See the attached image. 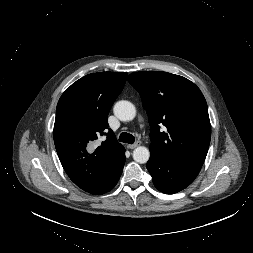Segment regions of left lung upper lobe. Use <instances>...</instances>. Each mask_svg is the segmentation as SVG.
Wrapping results in <instances>:
<instances>
[{"mask_svg":"<svg viewBox=\"0 0 253 253\" xmlns=\"http://www.w3.org/2000/svg\"><path fill=\"white\" fill-rule=\"evenodd\" d=\"M128 81L148 115L150 150L199 172L211 139L207 103L200 89L182 76L162 71L134 72Z\"/></svg>","mask_w":253,"mask_h":253,"instance_id":"1","label":"left lung upper lobe"}]
</instances>
